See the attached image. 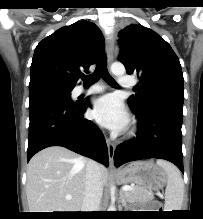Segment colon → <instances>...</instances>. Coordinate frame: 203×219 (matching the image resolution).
Instances as JSON below:
<instances>
[{"instance_id": "obj_1", "label": "colon", "mask_w": 203, "mask_h": 219, "mask_svg": "<svg viewBox=\"0 0 203 219\" xmlns=\"http://www.w3.org/2000/svg\"><path fill=\"white\" fill-rule=\"evenodd\" d=\"M151 207L155 211H159V210H161L162 204L159 201H153L152 204H151Z\"/></svg>"}]
</instances>
